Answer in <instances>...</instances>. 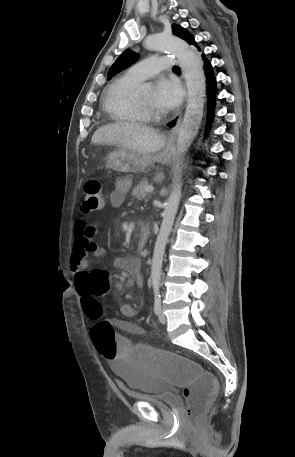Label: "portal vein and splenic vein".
Returning <instances> with one entry per match:
<instances>
[{
  "label": "portal vein and splenic vein",
  "instance_id": "obj_1",
  "mask_svg": "<svg viewBox=\"0 0 295 457\" xmlns=\"http://www.w3.org/2000/svg\"><path fill=\"white\" fill-rule=\"evenodd\" d=\"M153 189H154L153 186L150 185V186H147V187L145 188V191H146L147 193H150V192L153 191Z\"/></svg>",
  "mask_w": 295,
  "mask_h": 457
}]
</instances>
